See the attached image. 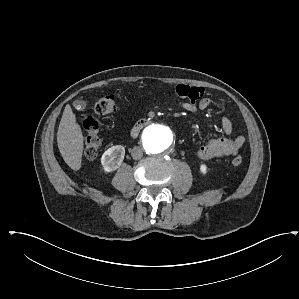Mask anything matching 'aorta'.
I'll list each match as a JSON object with an SVG mask.
<instances>
[{"label":"aorta","instance_id":"aorta-1","mask_svg":"<svg viewBox=\"0 0 299 299\" xmlns=\"http://www.w3.org/2000/svg\"><path fill=\"white\" fill-rule=\"evenodd\" d=\"M173 143V133L169 127L152 124L142 134V145L150 156H157L167 151Z\"/></svg>","mask_w":299,"mask_h":299}]
</instances>
